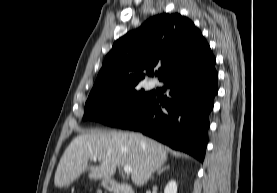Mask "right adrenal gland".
<instances>
[{
  "instance_id": "obj_1",
  "label": "right adrenal gland",
  "mask_w": 277,
  "mask_h": 193,
  "mask_svg": "<svg viewBox=\"0 0 277 193\" xmlns=\"http://www.w3.org/2000/svg\"><path fill=\"white\" fill-rule=\"evenodd\" d=\"M166 169H169V165L165 166L164 168H160L158 171H157V175H160L162 172H164Z\"/></svg>"
}]
</instances>
